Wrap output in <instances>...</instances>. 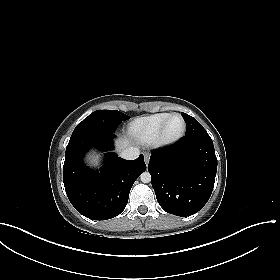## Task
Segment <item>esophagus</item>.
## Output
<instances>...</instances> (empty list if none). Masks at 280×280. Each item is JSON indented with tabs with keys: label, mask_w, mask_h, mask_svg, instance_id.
<instances>
[{
	"label": "esophagus",
	"mask_w": 280,
	"mask_h": 280,
	"mask_svg": "<svg viewBox=\"0 0 280 280\" xmlns=\"http://www.w3.org/2000/svg\"><path fill=\"white\" fill-rule=\"evenodd\" d=\"M149 159H150L149 153H145V154H144V161H145L146 164H148Z\"/></svg>",
	"instance_id": "1"
}]
</instances>
